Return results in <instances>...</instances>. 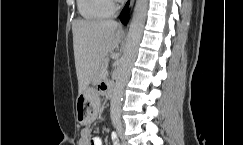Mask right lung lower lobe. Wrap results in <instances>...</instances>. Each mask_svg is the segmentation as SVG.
<instances>
[{"label": "right lung lower lobe", "mask_w": 243, "mask_h": 145, "mask_svg": "<svg viewBox=\"0 0 243 145\" xmlns=\"http://www.w3.org/2000/svg\"><path fill=\"white\" fill-rule=\"evenodd\" d=\"M128 7H129V1L127 2L126 6L124 7L120 15V19L122 23H126L128 20Z\"/></svg>", "instance_id": "98d812e1"}]
</instances>
